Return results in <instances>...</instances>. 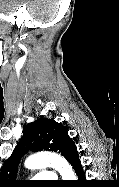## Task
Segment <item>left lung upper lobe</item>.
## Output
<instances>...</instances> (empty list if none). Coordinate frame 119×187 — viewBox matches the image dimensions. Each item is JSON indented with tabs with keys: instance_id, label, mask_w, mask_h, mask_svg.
Here are the masks:
<instances>
[{
	"instance_id": "1",
	"label": "left lung upper lobe",
	"mask_w": 119,
	"mask_h": 187,
	"mask_svg": "<svg viewBox=\"0 0 119 187\" xmlns=\"http://www.w3.org/2000/svg\"><path fill=\"white\" fill-rule=\"evenodd\" d=\"M23 133L13 153L1 168L0 187H16L23 183L15 180V177L19 160L27 151H54L67 159L71 148L75 145L66 127L53 119H37L28 124Z\"/></svg>"
}]
</instances>
